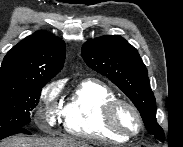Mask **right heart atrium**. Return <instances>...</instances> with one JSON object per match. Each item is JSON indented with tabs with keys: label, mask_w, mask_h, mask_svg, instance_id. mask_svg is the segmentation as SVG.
I'll use <instances>...</instances> for the list:
<instances>
[{
	"label": "right heart atrium",
	"mask_w": 183,
	"mask_h": 147,
	"mask_svg": "<svg viewBox=\"0 0 183 147\" xmlns=\"http://www.w3.org/2000/svg\"><path fill=\"white\" fill-rule=\"evenodd\" d=\"M60 91V84L53 82L47 84L40 94L41 104L37 110V117L50 126H54L63 114V107L59 102Z\"/></svg>",
	"instance_id": "d8ad5b80"
}]
</instances>
